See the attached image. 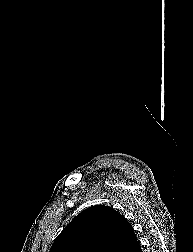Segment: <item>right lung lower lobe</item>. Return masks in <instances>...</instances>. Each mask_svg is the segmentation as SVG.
<instances>
[{
	"mask_svg": "<svg viewBox=\"0 0 193 252\" xmlns=\"http://www.w3.org/2000/svg\"><path fill=\"white\" fill-rule=\"evenodd\" d=\"M134 252H142L140 245H138V246L136 247V249L134 250Z\"/></svg>",
	"mask_w": 193,
	"mask_h": 252,
	"instance_id": "98d812e1",
	"label": "right lung lower lobe"
}]
</instances>
